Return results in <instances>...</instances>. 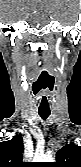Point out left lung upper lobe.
<instances>
[{"label":"left lung upper lobe","instance_id":"5c2ea615","mask_svg":"<svg viewBox=\"0 0 81 167\" xmlns=\"http://www.w3.org/2000/svg\"><path fill=\"white\" fill-rule=\"evenodd\" d=\"M57 162L52 167H81V147L74 144H66L56 154Z\"/></svg>","mask_w":81,"mask_h":167}]
</instances>
